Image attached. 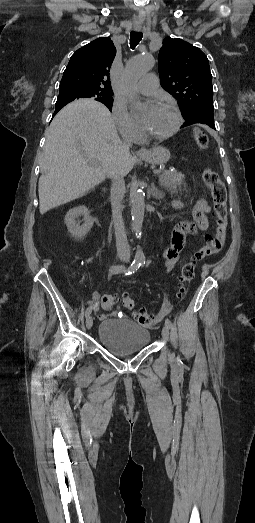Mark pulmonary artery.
Here are the masks:
<instances>
[{
  "instance_id": "e3ab8cb5",
  "label": "pulmonary artery",
  "mask_w": 255,
  "mask_h": 523,
  "mask_svg": "<svg viewBox=\"0 0 255 523\" xmlns=\"http://www.w3.org/2000/svg\"><path fill=\"white\" fill-rule=\"evenodd\" d=\"M157 75L155 72L150 71L147 73L146 76L141 77L140 81L138 82V91L144 92V95L146 97H151L152 95L158 96L161 94L162 89L160 86H158V82L156 80Z\"/></svg>"
}]
</instances>
